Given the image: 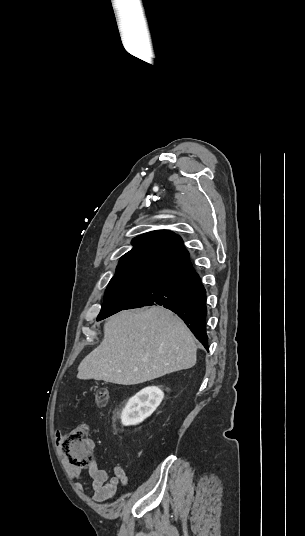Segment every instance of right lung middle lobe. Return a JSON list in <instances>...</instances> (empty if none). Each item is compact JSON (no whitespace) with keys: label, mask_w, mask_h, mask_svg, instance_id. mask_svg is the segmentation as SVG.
Here are the masks:
<instances>
[{"label":"right lung middle lobe","mask_w":305,"mask_h":536,"mask_svg":"<svg viewBox=\"0 0 305 536\" xmlns=\"http://www.w3.org/2000/svg\"><path fill=\"white\" fill-rule=\"evenodd\" d=\"M164 278L143 275L113 277L105 291L104 303L97 321L123 310Z\"/></svg>","instance_id":"dd1d6c3e"}]
</instances>
